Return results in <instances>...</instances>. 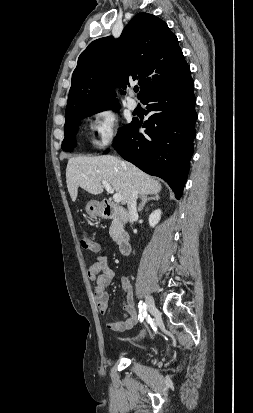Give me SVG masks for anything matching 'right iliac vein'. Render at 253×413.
Segmentation results:
<instances>
[{"label":"right iliac vein","instance_id":"right-iliac-vein-1","mask_svg":"<svg viewBox=\"0 0 253 413\" xmlns=\"http://www.w3.org/2000/svg\"><path fill=\"white\" fill-rule=\"evenodd\" d=\"M146 306H147L148 311L151 314L155 313V311H156L155 302H154V299L152 298V296H150V295L146 296Z\"/></svg>","mask_w":253,"mask_h":413}]
</instances>
